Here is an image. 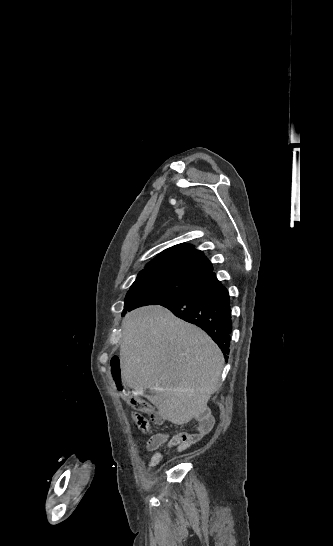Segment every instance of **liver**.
<instances>
[{"mask_svg":"<svg viewBox=\"0 0 333 546\" xmlns=\"http://www.w3.org/2000/svg\"><path fill=\"white\" fill-rule=\"evenodd\" d=\"M122 381L147 396L166 420L182 425L208 410L220 386L224 357L200 328L159 305L138 308L122 322Z\"/></svg>","mask_w":333,"mask_h":546,"instance_id":"liver-1","label":"liver"}]
</instances>
